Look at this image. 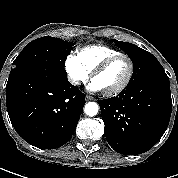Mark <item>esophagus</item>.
<instances>
[{"instance_id": "esophagus-1", "label": "esophagus", "mask_w": 178, "mask_h": 178, "mask_svg": "<svg viewBox=\"0 0 178 178\" xmlns=\"http://www.w3.org/2000/svg\"><path fill=\"white\" fill-rule=\"evenodd\" d=\"M91 100H95V98L90 96V95H87L86 96V101H91Z\"/></svg>"}]
</instances>
